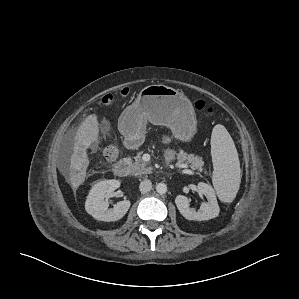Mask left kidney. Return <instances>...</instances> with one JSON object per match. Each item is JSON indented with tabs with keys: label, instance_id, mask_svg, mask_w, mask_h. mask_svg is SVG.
Listing matches in <instances>:
<instances>
[{
	"label": "left kidney",
	"instance_id": "obj_1",
	"mask_svg": "<svg viewBox=\"0 0 299 299\" xmlns=\"http://www.w3.org/2000/svg\"><path fill=\"white\" fill-rule=\"evenodd\" d=\"M198 192L205 195L207 202L201 204L198 211L190 208L189 199L184 195H178L175 198L176 206L182 216L188 220L203 221L215 218L219 215L220 208L217 202L216 194L211 185L199 182Z\"/></svg>",
	"mask_w": 299,
	"mask_h": 299
}]
</instances>
